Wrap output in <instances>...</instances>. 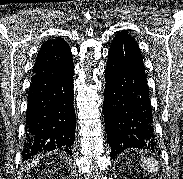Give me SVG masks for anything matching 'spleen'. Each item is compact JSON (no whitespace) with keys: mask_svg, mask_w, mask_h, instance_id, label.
Masks as SVG:
<instances>
[{"mask_svg":"<svg viewBox=\"0 0 183 179\" xmlns=\"http://www.w3.org/2000/svg\"><path fill=\"white\" fill-rule=\"evenodd\" d=\"M140 166L149 172L157 173L159 170V163L154 158L143 157L141 158Z\"/></svg>","mask_w":183,"mask_h":179,"instance_id":"3e777b00","label":"spleen"}]
</instances>
